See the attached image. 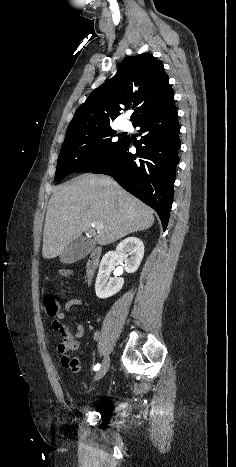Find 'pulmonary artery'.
I'll use <instances>...</instances> for the list:
<instances>
[{
	"instance_id": "pulmonary-artery-1",
	"label": "pulmonary artery",
	"mask_w": 236,
	"mask_h": 467,
	"mask_svg": "<svg viewBox=\"0 0 236 467\" xmlns=\"http://www.w3.org/2000/svg\"><path fill=\"white\" fill-rule=\"evenodd\" d=\"M121 127H122V129H124V130L128 129V128L130 127V122H129L128 120H123V121L121 122Z\"/></svg>"
}]
</instances>
